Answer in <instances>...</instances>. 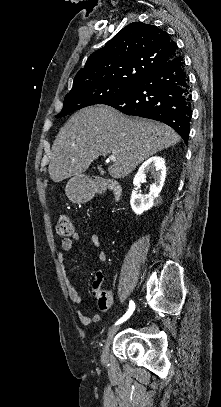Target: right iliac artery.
Instances as JSON below:
<instances>
[{"label":"right iliac artery","instance_id":"obj_1","mask_svg":"<svg viewBox=\"0 0 221 407\" xmlns=\"http://www.w3.org/2000/svg\"><path fill=\"white\" fill-rule=\"evenodd\" d=\"M134 310H135V303L132 300H130L128 311L126 312V314L122 318H120L116 322V325L126 321L132 315Z\"/></svg>","mask_w":221,"mask_h":407}]
</instances>
